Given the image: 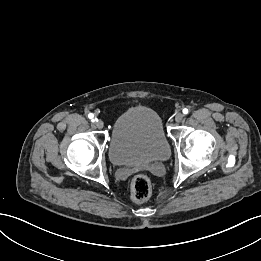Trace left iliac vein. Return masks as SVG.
<instances>
[{"label":"left iliac vein","instance_id":"obj_1","mask_svg":"<svg viewBox=\"0 0 261 261\" xmlns=\"http://www.w3.org/2000/svg\"><path fill=\"white\" fill-rule=\"evenodd\" d=\"M183 118H184V115L182 113H177L175 115V121L178 123L181 122L183 120Z\"/></svg>","mask_w":261,"mask_h":261}]
</instances>
